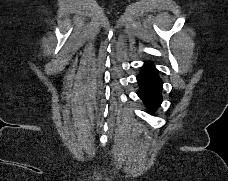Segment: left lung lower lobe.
I'll use <instances>...</instances> for the list:
<instances>
[{
    "instance_id": "0a47b994",
    "label": "left lung lower lobe",
    "mask_w": 228,
    "mask_h": 181,
    "mask_svg": "<svg viewBox=\"0 0 228 181\" xmlns=\"http://www.w3.org/2000/svg\"><path fill=\"white\" fill-rule=\"evenodd\" d=\"M140 86L138 95L149 109H156L162 102V80L151 63H146L137 76Z\"/></svg>"
}]
</instances>
